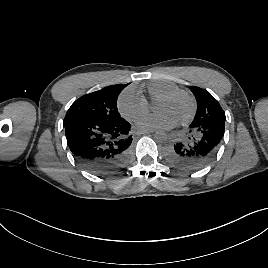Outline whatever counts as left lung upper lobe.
<instances>
[{
    "label": "left lung upper lobe",
    "mask_w": 268,
    "mask_h": 268,
    "mask_svg": "<svg viewBox=\"0 0 268 268\" xmlns=\"http://www.w3.org/2000/svg\"><path fill=\"white\" fill-rule=\"evenodd\" d=\"M190 90L197 101V112L190 125V131L215 121H225L226 117L223 109L218 101L207 90L196 86H191Z\"/></svg>",
    "instance_id": "left-lung-upper-lobe-1"
}]
</instances>
